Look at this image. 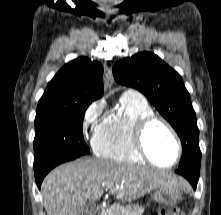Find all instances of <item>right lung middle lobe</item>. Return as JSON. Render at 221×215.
Instances as JSON below:
<instances>
[{
	"label": "right lung middle lobe",
	"instance_id": "dd1d6c3e",
	"mask_svg": "<svg viewBox=\"0 0 221 215\" xmlns=\"http://www.w3.org/2000/svg\"><path fill=\"white\" fill-rule=\"evenodd\" d=\"M90 103L38 104L35 118L34 168L66 155L90 152L83 137L84 114Z\"/></svg>",
	"mask_w": 221,
	"mask_h": 215
}]
</instances>
